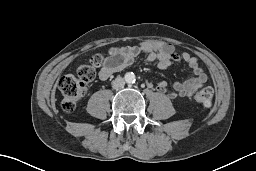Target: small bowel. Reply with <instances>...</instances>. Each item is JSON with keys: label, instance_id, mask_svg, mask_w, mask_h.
I'll use <instances>...</instances> for the list:
<instances>
[{"label": "small bowel", "instance_id": "1", "mask_svg": "<svg viewBox=\"0 0 256 171\" xmlns=\"http://www.w3.org/2000/svg\"><path fill=\"white\" fill-rule=\"evenodd\" d=\"M144 54L147 63L157 62L161 69L168 68L173 62L183 61L192 71V75L184 81H175L172 90L168 88L166 81H160L156 88L164 93L168 98L190 96L193 91L205 84L208 80L207 74L200 66L196 57L188 52L178 55L175 47L164 41H145L133 46L113 47L104 58L98 76L101 80L108 79L112 74L125 69L133 64L135 58ZM148 86H152L150 81H146Z\"/></svg>", "mask_w": 256, "mask_h": 171}]
</instances>
